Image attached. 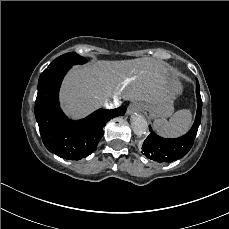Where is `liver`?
I'll list each match as a JSON object with an SVG mask.
<instances>
[{"mask_svg":"<svg viewBox=\"0 0 229 229\" xmlns=\"http://www.w3.org/2000/svg\"><path fill=\"white\" fill-rule=\"evenodd\" d=\"M177 80L179 76H173L167 64L152 58L99 61L72 71L62 98L67 112L74 115L86 114L113 97L172 106Z\"/></svg>","mask_w":229,"mask_h":229,"instance_id":"6515ba94","label":"liver"}]
</instances>
